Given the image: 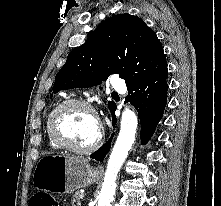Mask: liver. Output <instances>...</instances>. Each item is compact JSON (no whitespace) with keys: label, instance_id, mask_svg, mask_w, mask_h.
I'll return each instance as SVG.
<instances>
[{"label":"liver","instance_id":"obj_1","mask_svg":"<svg viewBox=\"0 0 221 206\" xmlns=\"http://www.w3.org/2000/svg\"><path fill=\"white\" fill-rule=\"evenodd\" d=\"M77 159L78 161H82V162H89V159H80V158H75Z\"/></svg>","mask_w":221,"mask_h":206}]
</instances>
